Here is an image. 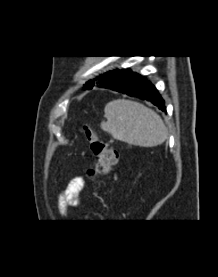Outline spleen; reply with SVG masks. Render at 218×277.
Wrapping results in <instances>:
<instances>
[{"instance_id": "1", "label": "spleen", "mask_w": 218, "mask_h": 277, "mask_svg": "<svg viewBox=\"0 0 218 277\" xmlns=\"http://www.w3.org/2000/svg\"><path fill=\"white\" fill-rule=\"evenodd\" d=\"M106 122L101 129L114 139L142 147H153L167 139L161 117L145 105L126 99L109 102L104 109Z\"/></svg>"}]
</instances>
